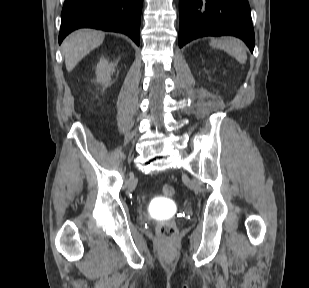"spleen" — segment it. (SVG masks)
<instances>
[{
	"label": "spleen",
	"instance_id": "3e777b00",
	"mask_svg": "<svg viewBox=\"0 0 309 288\" xmlns=\"http://www.w3.org/2000/svg\"><path fill=\"white\" fill-rule=\"evenodd\" d=\"M210 46L223 49L228 54L235 57V59L241 64H244L247 60L245 45L239 39L231 37L212 39Z\"/></svg>",
	"mask_w": 309,
	"mask_h": 288
}]
</instances>
